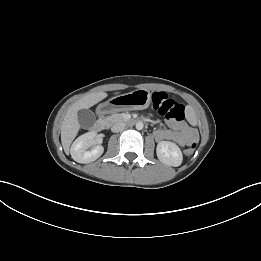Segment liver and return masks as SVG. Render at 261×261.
<instances>
[{"label":"liver","mask_w":261,"mask_h":261,"mask_svg":"<svg viewBox=\"0 0 261 261\" xmlns=\"http://www.w3.org/2000/svg\"><path fill=\"white\" fill-rule=\"evenodd\" d=\"M107 96L108 94L105 92L90 93L79 99L68 109L61 125V143L66 153H69L70 145L80 129L78 111L92 107Z\"/></svg>","instance_id":"obj_1"}]
</instances>
